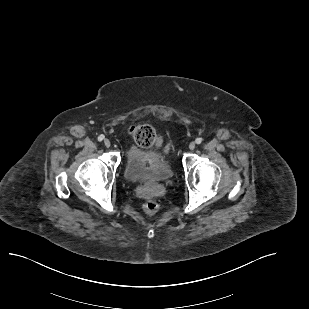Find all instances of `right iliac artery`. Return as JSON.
<instances>
[{
    "label": "right iliac artery",
    "instance_id": "obj_1",
    "mask_svg": "<svg viewBox=\"0 0 309 309\" xmlns=\"http://www.w3.org/2000/svg\"><path fill=\"white\" fill-rule=\"evenodd\" d=\"M104 139V135H99L98 136V141H102Z\"/></svg>",
    "mask_w": 309,
    "mask_h": 309
}]
</instances>
